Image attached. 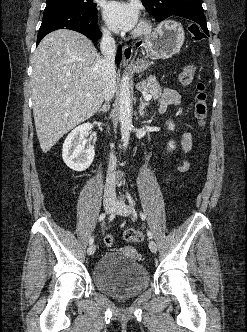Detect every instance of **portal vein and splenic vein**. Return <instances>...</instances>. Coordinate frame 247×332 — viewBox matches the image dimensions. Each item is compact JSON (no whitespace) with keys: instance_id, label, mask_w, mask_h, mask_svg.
<instances>
[{"instance_id":"1","label":"portal vein and splenic vein","mask_w":247,"mask_h":332,"mask_svg":"<svg viewBox=\"0 0 247 332\" xmlns=\"http://www.w3.org/2000/svg\"><path fill=\"white\" fill-rule=\"evenodd\" d=\"M87 96H89V94H87ZM151 98H152V95H150V94H147L144 96V100H146V101L151 100Z\"/></svg>"}]
</instances>
